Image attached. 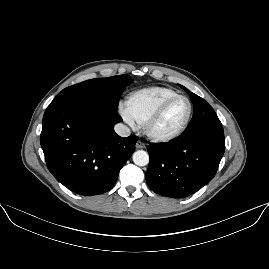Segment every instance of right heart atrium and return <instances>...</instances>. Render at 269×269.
I'll use <instances>...</instances> for the list:
<instances>
[{
    "mask_svg": "<svg viewBox=\"0 0 269 269\" xmlns=\"http://www.w3.org/2000/svg\"><path fill=\"white\" fill-rule=\"evenodd\" d=\"M121 114L126 121H128L129 123L133 122V119L131 118V116L127 112H125L122 108H121Z\"/></svg>",
    "mask_w": 269,
    "mask_h": 269,
    "instance_id": "obj_1",
    "label": "right heart atrium"
}]
</instances>
